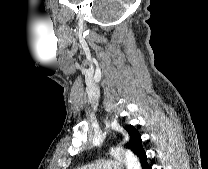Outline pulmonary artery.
<instances>
[{"label": "pulmonary artery", "instance_id": "obj_1", "mask_svg": "<svg viewBox=\"0 0 208 169\" xmlns=\"http://www.w3.org/2000/svg\"><path fill=\"white\" fill-rule=\"evenodd\" d=\"M126 168L119 159H99L94 163L86 164L77 169H124Z\"/></svg>", "mask_w": 208, "mask_h": 169}]
</instances>
